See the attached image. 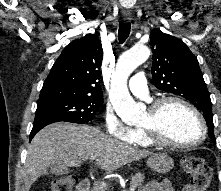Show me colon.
Listing matches in <instances>:
<instances>
[{
	"label": "colon",
	"mask_w": 221,
	"mask_h": 191,
	"mask_svg": "<svg viewBox=\"0 0 221 191\" xmlns=\"http://www.w3.org/2000/svg\"><path fill=\"white\" fill-rule=\"evenodd\" d=\"M184 172L190 177V181L182 191H207L212 180V169L205 160L198 156H185L181 160ZM76 179L72 175H64L55 178L49 191H72Z\"/></svg>",
	"instance_id": "1"
}]
</instances>
